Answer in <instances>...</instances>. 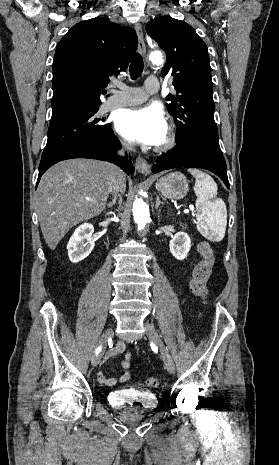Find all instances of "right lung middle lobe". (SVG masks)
Here are the masks:
<instances>
[{"label":"right lung middle lobe","instance_id":"right-lung-middle-lobe-1","mask_svg":"<svg viewBox=\"0 0 279 465\" xmlns=\"http://www.w3.org/2000/svg\"><path fill=\"white\" fill-rule=\"evenodd\" d=\"M99 108L49 126L48 140L41 159H45L66 145L83 138H102L113 131L104 119L97 118Z\"/></svg>","mask_w":279,"mask_h":465}]
</instances>
